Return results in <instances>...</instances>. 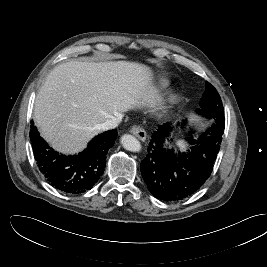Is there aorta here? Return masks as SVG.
<instances>
[{
  "mask_svg": "<svg viewBox=\"0 0 267 267\" xmlns=\"http://www.w3.org/2000/svg\"><path fill=\"white\" fill-rule=\"evenodd\" d=\"M124 149L131 151V152H140L141 150V143L136 139L134 136L125 134L121 137L120 140Z\"/></svg>",
  "mask_w": 267,
  "mask_h": 267,
  "instance_id": "aorta-1",
  "label": "aorta"
}]
</instances>
